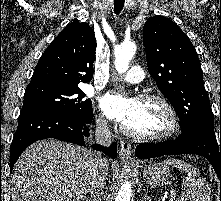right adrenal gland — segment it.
Here are the masks:
<instances>
[{
	"label": "right adrenal gland",
	"instance_id": "right-adrenal-gland-1",
	"mask_svg": "<svg viewBox=\"0 0 221 201\" xmlns=\"http://www.w3.org/2000/svg\"><path fill=\"white\" fill-rule=\"evenodd\" d=\"M83 201H92V200H91V197H84Z\"/></svg>",
	"mask_w": 221,
	"mask_h": 201
}]
</instances>
